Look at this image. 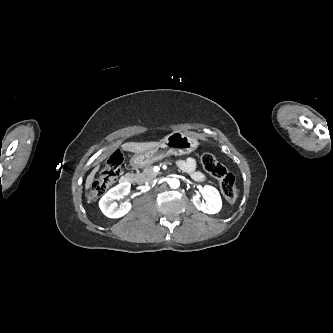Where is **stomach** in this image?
Returning <instances> with one entry per match:
<instances>
[{
	"label": "stomach",
	"mask_w": 333,
	"mask_h": 333,
	"mask_svg": "<svg viewBox=\"0 0 333 333\" xmlns=\"http://www.w3.org/2000/svg\"><path fill=\"white\" fill-rule=\"evenodd\" d=\"M198 140L180 131H174L164 137L155 148L136 153L130 160L134 168H143L170 155H183L198 147Z\"/></svg>",
	"instance_id": "stomach-1"
}]
</instances>
